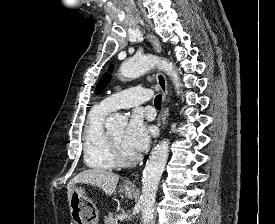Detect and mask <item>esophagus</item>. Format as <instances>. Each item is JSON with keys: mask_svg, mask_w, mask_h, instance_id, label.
I'll return each instance as SVG.
<instances>
[{"mask_svg": "<svg viewBox=\"0 0 275 224\" xmlns=\"http://www.w3.org/2000/svg\"><path fill=\"white\" fill-rule=\"evenodd\" d=\"M148 37H149V40L152 43L155 51L157 53H160L161 52V45H160L159 40L153 34H148ZM156 79H157V83H158V85H159V87L162 91V95H163L162 103L164 105L166 100H167V97H168L167 80H166V77L164 76V74L161 73V72L156 73ZM162 117H163V111H161V113L158 116V119H157L158 126L161 125ZM127 185L130 186V187H134V185L131 182H127Z\"/></svg>", "mask_w": 275, "mask_h": 224, "instance_id": "obj_1", "label": "esophagus"}]
</instances>
